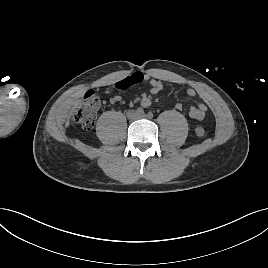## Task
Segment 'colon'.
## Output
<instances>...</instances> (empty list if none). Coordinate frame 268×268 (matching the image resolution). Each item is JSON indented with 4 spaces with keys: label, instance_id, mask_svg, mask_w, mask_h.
Listing matches in <instances>:
<instances>
[{
    "label": "colon",
    "instance_id": "obj_1",
    "mask_svg": "<svg viewBox=\"0 0 268 268\" xmlns=\"http://www.w3.org/2000/svg\"><path fill=\"white\" fill-rule=\"evenodd\" d=\"M133 85V82L129 79H125L116 85L119 89H126ZM100 105L98 95L90 90L86 92L82 102L74 108L72 112L73 121L85 130H89L93 127L97 110ZM206 131L204 127L197 126L195 128V135L199 138L204 137Z\"/></svg>",
    "mask_w": 268,
    "mask_h": 268
}]
</instances>
